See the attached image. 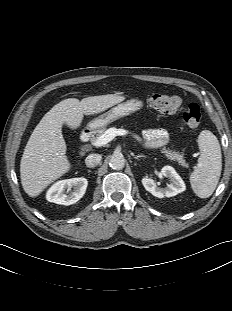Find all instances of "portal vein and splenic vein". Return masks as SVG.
Returning a JSON list of instances; mask_svg holds the SVG:
<instances>
[{"label": "portal vein and splenic vein", "mask_w": 232, "mask_h": 311, "mask_svg": "<svg viewBox=\"0 0 232 311\" xmlns=\"http://www.w3.org/2000/svg\"><path fill=\"white\" fill-rule=\"evenodd\" d=\"M129 132L125 129H116V128H109L105 133H103L94 143V146L101 147L112 141L116 136H124ZM138 141H141L139 136H135Z\"/></svg>", "instance_id": "18ae733b"}]
</instances>
